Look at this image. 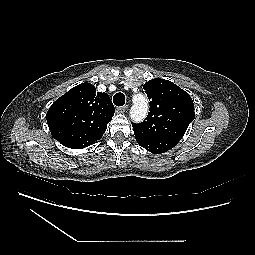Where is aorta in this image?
<instances>
[{"label":"aorta","instance_id":"obj_1","mask_svg":"<svg viewBox=\"0 0 255 255\" xmlns=\"http://www.w3.org/2000/svg\"><path fill=\"white\" fill-rule=\"evenodd\" d=\"M133 106L130 110V117L135 122L142 121L148 112V102L144 95L137 94L133 97Z\"/></svg>","mask_w":255,"mask_h":255}]
</instances>
